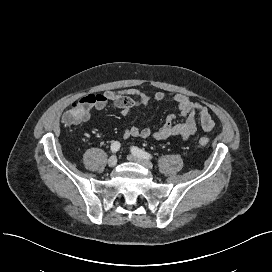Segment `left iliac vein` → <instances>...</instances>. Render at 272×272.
<instances>
[{"mask_svg": "<svg viewBox=\"0 0 272 272\" xmlns=\"http://www.w3.org/2000/svg\"><path fill=\"white\" fill-rule=\"evenodd\" d=\"M128 159L143 165L145 168H147L149 170L153 169V164L146 159H143V158L138 157L136 155H129Z\"/></svg>", "mask_w": 272, "mask_h": 272, "instance_id": "left-iliac-vein-1", "label": "left iliac vein"}]
</instances>
